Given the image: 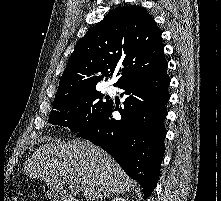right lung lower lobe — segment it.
Masks as SVG:
<instances>
[{"label": "right lung lower lobe", "instance_id": "98d812e1", "mask_svg": "<svg viewBox=\"0 0 221 201\" xmlns=\"http://www.w3.org/2000/svg\"><path fill=\"white\" fill-rule=\"evenodd\" d=\"M167 66L164 60L153 70L118 85L125 90L123 107L114 109L111 102L96 122L76 135L107 151L127 175L140 183L144 200L155 188L165 151L163 121L170 99ZM114 110L120 112V120L112 117Z\"/></svg>", "mask_w": 221, "mask_h": 201}]
</instances>
